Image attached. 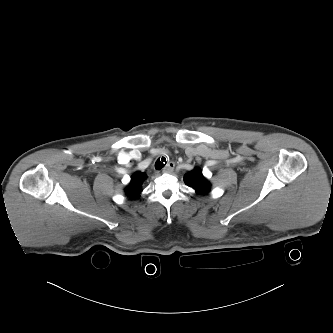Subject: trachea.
<instances>
[{"mask_svg":"<svg viewBox=\"0 0 333 333\" xmlns=\"http://www.w3.org/2000/svg\"><path fill=\"white\" fill-rule=\"evenodd\" d=\"M164 162H165V164L167 163L165 157H162L161 159L159 158V159L155 162V169H156V170H161V169L165 166Z\"/></svg>","mask_w":333,"mask_h":333,"instance_id":"trachea-1","label":"trachea"}]
</instances>
